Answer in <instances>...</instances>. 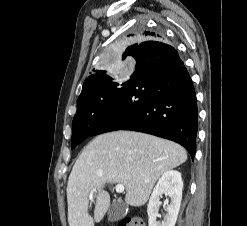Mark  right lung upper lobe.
<instances>
[{
  "instance_id": "1",
  "label": "right lung upper lobe",
  "mask_w": 247,
  "mask_h": 226,
  "mask_svg": "<svg viewBox=\"0 0 247 226\" xmlns=\"http://www.w3.org/2000/svg\"><path fill=\"white\" fill-rule=\"evenodd\" d=\"M138 37H141V38L147 39V40H160L162 38L159 34H157L155 32H150V31H143V32L138 34ZM137 46H138V44H134V45L128 47L124 54L125 55H133V53H134L135 49L137 48ZM94 72H95L94 74L90 75L84 81L81 94H83L84 92H86L89 89L93 88L98 83V81H99L98 71L94 70Z\"/></svg>"
}]
</instances>
